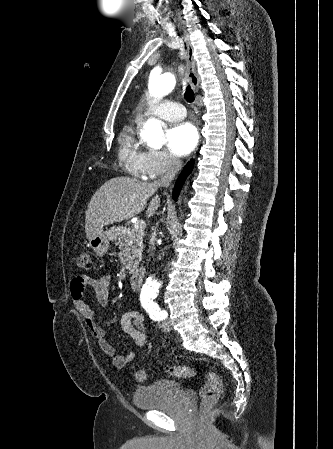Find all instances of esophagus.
I'll return each mask as SVG.
<instances>
[{
  "label": "esophagus",
  "mask_w": 333,
  "mask_h": 449,
  "mask_svg": "<svg viewBox=\"0 0 333 449\" xmlns=\"http://www.w3.org/2000/svg\"><path fill=\"white\" fill-rule=\"evenodd\" d=\"M183 39L187 47V55H186V62H187V77L188 80L194 89V91L197 93L199 90V77L197 75L196 71V61L194 59L193 54V47L190 43L189 36L186 32L183 33Z\"/></svg>",
  "instance_id": "obj_1"
}]
</instances>
